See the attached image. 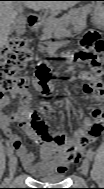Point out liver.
Listing matches in <instances>:
<instances>
[{
	"instance_id": "6515ba94",
	"label": "liver",
	"mask_w": 104,
	"mask_h": 189,
	"mask_svg": "<svg viewBox=\"0 0 104 189\" xmlns=\"http://www.w3.org/2000/svg\"><path fill=\"white\" fill-rule=\"evenodd\" d=\"M12 1H1L0 4V44L4 46L8 36L12 31V24L16 20L17 10L14 8ZM75 1H27V5L30 9L38 11L40 9L51 8L53 10H66L73 6Z\"/></svg>"
}]
</instances>
